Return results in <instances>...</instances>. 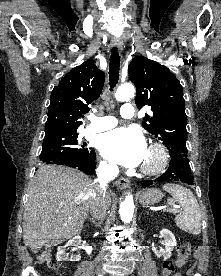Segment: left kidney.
<instances>
[{"instance_id": "left-kidney-1", "label": "left kidney", "mask_w": 221, "mask_h": 276, "mask_svg": "<svg viewBox=\"0 0 221 276\" xmlns=\"http://www.w3.org/2000/svg\"><path fill=\"white\" fill-rule=\"evenodd\" d=\"M160 235L164 238L163 244L165 246V250L157 251L154 247L152 248V250L158 258H163L164 260H166L171 257V253L177 242L173 233L168 229H162L160 231Z\"/></svg>"}]
</instances>
